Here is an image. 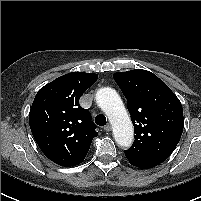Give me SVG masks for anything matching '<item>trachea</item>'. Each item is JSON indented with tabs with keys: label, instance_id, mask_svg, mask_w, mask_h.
Returning a JSON list of instances; mask_svg holds the SVG:
<instances>
[{
	"label": "trachea",
	"instance_id": "1",
	"mask_svg": "<svg viewBox=\"0 0 201 201\" xmlns=\"http://www.w3.org/2000/svg\"><path fill=\"white\" fill-rule=\"evenodd\" d=\"M95 122L99 126H104V125H106V122H107L106 117L103 114H99L96 116Z\"/></svg>",
	"mask_w": 201,
	"mask_h": 201
}]
</instances>
